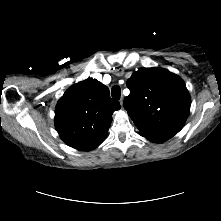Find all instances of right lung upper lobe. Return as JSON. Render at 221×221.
<instances>
[{"label":"right lung upper lobe","instance_id":"cb5924a9","mask_svg":"<svg viewBox=\"0 0 221 221\" xmlns=\"http://www.w3.org/2000/svg\"><path fill=\"white\" fill-rule=\"evenodd\" d=\"M119 109L108 87L88 78L70 87L58 101L55 127L67 145L90 151L105 140L112 114Z\"/></svg>","mask_w":221,"mask_h":221}]
</instances>
